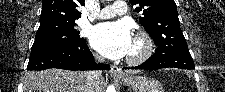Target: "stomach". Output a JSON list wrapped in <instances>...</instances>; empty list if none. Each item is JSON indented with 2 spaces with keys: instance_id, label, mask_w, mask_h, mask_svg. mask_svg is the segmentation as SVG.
<instances>
[{
  "instance_id": "1",
  "label": "stomach",
  "mask_w": 225,
  "mask_h": 92,
  "mask_svg": "<svg viewBox=\"0 0 225 92\" xmlns=\"http://www.w3.org/2000/svg\"><path fill=\"white\" fill-rule=\"evenodd\" d=\"M120 82L133 92H164L163 87L156 79L125 73L119 78Z\"/></svg>"
}]
</instances>
